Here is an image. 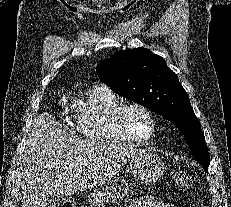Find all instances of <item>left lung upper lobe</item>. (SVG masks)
<instances>
[{
  "instance_id": "5c2ea615",
  "label": "left lung upper lobe",
  "mask_w": 231,
  "mask_h": 207,
  "mask_svg": "<svg viewBox=\"0 0 231 207\" xmlns=\"http://www.w3.org/2000/svg\"><path fill=\"white\" fill-rule=\"evenodd\" d=\"M96 72L120 96L174 123L186 138L194 158L208 169L210 157L200 122L177 75L161 56L146 48L118 51L102 61Z\"/></svg>"
}]
</instances>
